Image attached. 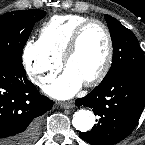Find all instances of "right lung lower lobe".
Listing matches in <instances>:
<instances>
[{"mask_svg": "<svg viewBox=\"0 0 145 145\" xmlns=\"http://www.w3.org/2000/svg\"><path fill=\"white\" fill-rule=\"evenodd\" d=\"M52 105L27 80L22 62H0V145H32L39 116Z\"/></svg>", "mask_w": 145, "mask_h": 145, "instance_id": "obj_1", "label": "right lung lower lobe"}]
</instances>
